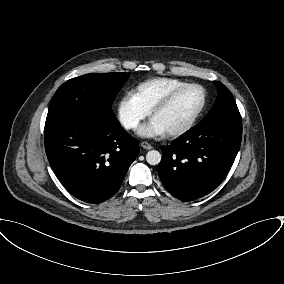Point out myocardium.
<instances>
[{
  "label": "myocardium",
  "mask_w": 284,
  "mask_h": 284,
  "mask_svg": "<svg viewBox=\"0 0 284 284\" xmlns=\"http://www.w3.org/2000/svg\"><path fill=\"white\" fill-rule=\"evenodd\" d=\"M189 88H199L202 91L203 98H202L201 105L196 110V112L192 115V117L187 122H185L183 125L164 132L166 136H169V137L181 136L185 134L186 132H188L195 125V123L197 122L201 114L203 113L206 107V104H207L208 94H207L206 89L202 85L197 84V83H187L183 86H180L174 89L165 98H163L160 102H158L151 110L150 115H151V118L153 119L157 113L169 107L183 91Z\"/></svg>",
  "instance_id": "myocardium-1"
}]
</instances>
